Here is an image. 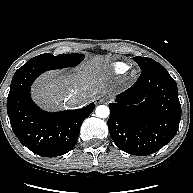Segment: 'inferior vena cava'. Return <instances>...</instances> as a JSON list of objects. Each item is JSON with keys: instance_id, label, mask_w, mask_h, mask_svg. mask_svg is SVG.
Instances as JSON below:
<instances>
[{"instance_id": "inferior-vena-cava-1", "label": "inferior vena cava", "mask_w": 193, "mask_h": 193, "mask_svg": "<svg viewBox=\"0 0 193 193\" xmlns=\"http://www.w3.org/2000/svg\"><path fill=\"white\" fill-rule=\"evenodd\" d=\"M67 103L69 106L75 107V106H82L87 103L86 98L81 96L80 94H71L67 99Z\"/></svg>"}]
</instances>
